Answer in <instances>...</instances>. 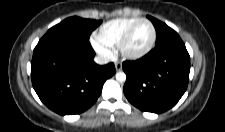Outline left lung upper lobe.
Returning <instances> with one entry per match:
<instances>
[{
    "mask_svg": "<svg viewBox=\"0 0 225 132\" xmlns=\"http://www.w3.org/2000/svg\"><path fill=\"white\" fill-rule=\"evenodd\" d=\"M147 17L152 21V23L156 29L157 39H156L155 46L180 39L177 32H175L173 29L168 27L165 23H163L151 16H147Z\"/></svg>",
    "mask_w": 225,
    "mask_h": 132,
    "instance_id": "obj_1",
    "label": "left lung upper lobe"
}]
</instances>
